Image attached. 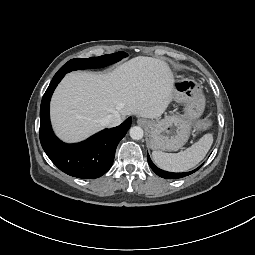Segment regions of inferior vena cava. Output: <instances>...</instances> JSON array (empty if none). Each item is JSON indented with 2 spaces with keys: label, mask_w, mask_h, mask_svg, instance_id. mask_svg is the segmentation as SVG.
I'll list each match as a JSON object with an SVG mask.
<instances>
[{
  "label": "inferior vena cava",
  "mask_w": 255,
  "mask_h": 255,
  "mask_svg": "<svg viewBox=\"0 0 255 255\" xmlns=\"http://www.w3.org/2000/svg\"><path fill=\"white\" fill-rule=\"evenodd\" d=\"M123 118L119 114H110L102 119V124L106 127H115L122 123Z\"/></svg>",
  "instance_id": "obj_1"
}]
</instances>
